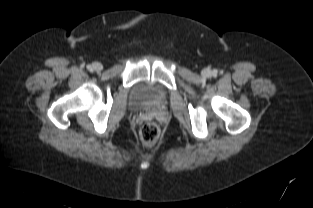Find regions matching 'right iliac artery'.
I'll return each instance as SVG.
<instances>
[{
  "instance_id": "1",
  "label": "right iliac artery",
  "mask_w": 313,
  "mask_h": 208,
  "mask_svg": "<svg viewBox=\"0 0 313 208\" xmlns=\"http://www.w3.org/2000/svg\"><path fill=\"white\" fill-rule=\"evenodd\" d=\"M87 69H88V70H92L91 65H88V66H87Z\"/></svg>"
}]
</instances>
